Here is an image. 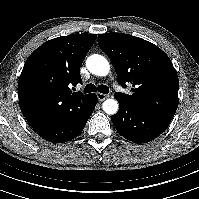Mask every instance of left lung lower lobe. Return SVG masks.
Listing matches in <instances>:
<instances>
[{"mask_svg": "<svg viewBox=\"0 0 199 199\" xmlns=\"http://www.w3.org/2000/svg\"><path fill=\"white\" fill-rule=\"evenodd\" d=\"M118 112L111 117L116 130L134 143H147L163 133L171 120L145 112L125 99L116 97Z\"/></svg>", "mask_w": 199, "mask_h": 199, "instance_id": "0a47b994", "label": "left lung lower lobe"}]
</instances>
